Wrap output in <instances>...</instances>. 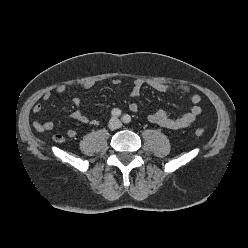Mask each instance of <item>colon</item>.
<instances>
[{
    "mask_svg": "<svg viewBox=\"0 0 248 248\" xmlns=\"http://www.w3.org/2000/svg\"><path fill=\"white\" fill-rule=\"evenodd\" d=\"M195 135L200 137V136H203L204 135V130L202 128H197L195 130Z\"/></svg>",
    "mask_w": 248,
    "mask_h": 248,
    "instance_id": "colon-1",
    "label": "colon"
}]
</instances>
